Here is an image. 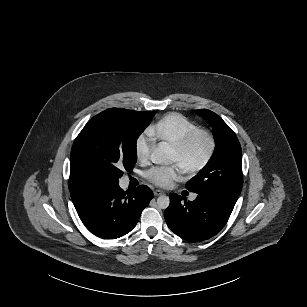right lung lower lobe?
I'll list each match as a JSON object with an SVG mask.
<instances>
[{"instance_id": "1", "label": "right lung lower lobe", "mask_w": 307, "mask_h": 307, "mask_svg": "<svg viewBox=\"0 0 307 307\" xmlns=\"http://www.w3.org/2000/svg\"><path fill=\"white\" fill-rule=\"evenodd\" d=\"M70 194L86 228L104 239L119 238L130 232L153 198L145 185L129 192L123 191L116 182L81 185Z\"/></svg>"}]
</instances>
